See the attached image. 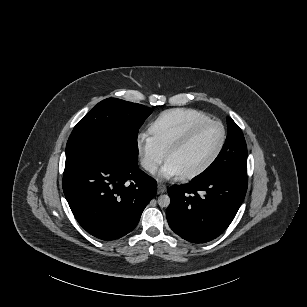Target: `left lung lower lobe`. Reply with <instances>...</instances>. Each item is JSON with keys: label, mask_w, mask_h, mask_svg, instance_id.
Wrapping results in <instances>:
<instances>
[{"label": "left lung lower lobe", "mask_w": 307, "mask_h": 307, "mask_svg": "<svg viewBox=\"0 0 307 307\" xmlns=\"http://www.w3.org/2000/svg\"><path fill=\"white\" fill-rule=\"evenodd\" d=\"M247 190V176L218 173L168 189L166 217L171 229L187 241L203 243L222 234L234 219ZM206 193L201 196L198 192Z\"/></svg>", "instance_id": "1"}]
</instances>
